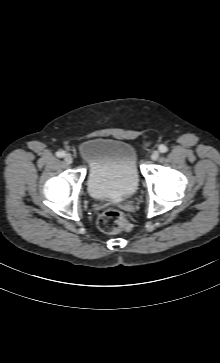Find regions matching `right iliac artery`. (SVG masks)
Wrapping results in <instances>:
<instances>
[{"label": "right iliac artery", "mask_w": 220, "mask_h": 363, "mask_svg": "<svg viewBox=\"0 0 220 363\" xmlns=\"http://www.w3.org/2000/svg\"><path fill=\"white\" fill-rule=\"evenodd\" d=\"M56 156L59 157V158L64 157L65 152L64 151H58V152H56Z\"/></svg>", "instance_id": "obj_1"}]
</instances>
